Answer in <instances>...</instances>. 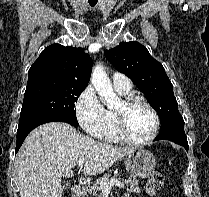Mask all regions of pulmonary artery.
Listing matches in <instances>:
<instances>
[{
    "label": "pulmonary artery",
    "instance_id": "1",
    "mask_svg": "<svg viewBox=\"0 0 209 197\" xmlns=\"http://www.w3.org/2000/svg\"><path fill=\"white\" fill-rule=\"evenodd\" d=\"M112 81L116 90L130 91L132 88L130 79L122 73H114L112 76Z\"/></svg>",
    "mask_w": 209,
    "mask_h": 197
}]
</instances>
